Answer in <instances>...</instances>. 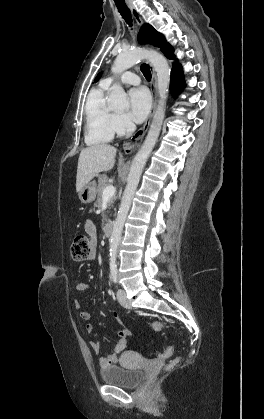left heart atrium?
I'll use <instances>...</instances> for the list:
<instances>
[{"label": "left heart atrium", "instance_id": "39dd6f15", "mask_svg": "<svg viewBox=\"0 0 264 419\" xmlns=\"http://www.w3.org/2000/svg\"><path fill=\"white\" fill-rule=\"evenodd\" d=\"M130 115L138 123L144 121L151 108V98L144 88L132 89L129 92Z\"/></svg>", "mask_w": 264, "mask_h": 419}]
</instances>
